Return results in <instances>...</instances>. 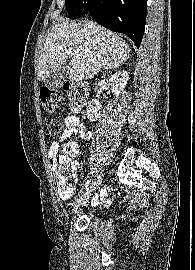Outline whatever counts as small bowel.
<instances>
[{
  "instance_id": "c3829d8e",
  "label": "small bowel",
  "mask_w": 195,
  "mask_h": 270,
  "mask_svg": "<svg viewBox=\"0 0 195 270\" xmlns=\"http://www.w3.org/2000/svg\"><path fill=\"white\" fill-rule=\"evenodd\" d=\"M64 124H65V130L60 136V141H64L73 134H78L80 138L82 139H87L90 137V132L89 130L84 126L82 121L78 116L75 115H68L64 119ZM59 142L54 141L51 143L49 149H48V156L50 159V168L52 171L55 170L56 167V158L59 152ZM72 169L77 170L79 163L77 161H72ZM60 195V194H59ZM73 195V189L65 194V195H60V197L64 200L70 199ZM95 202L97 201V198L94 200Z\"/></svg>"
}]
</instances>
